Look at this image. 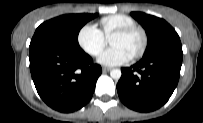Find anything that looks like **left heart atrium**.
I'll return each mask as SVG.
<instances>
[{
    "label": "left heart atrium",
    "mask_w": 203,
    "mask_h": 123,
    "mask_svg": "<svg viewBox=\"0 0 203 123\" xmlns=\"http://www.w3.org/2000/svg\"><path fill=\"white\" fill-rule=\"evenodd\" d=\"M132 56L118 46H111L99 57V62L104 65L115 66L127 63Z\"/></svg>",
    "instance_id": "1"
}]
</instances>
